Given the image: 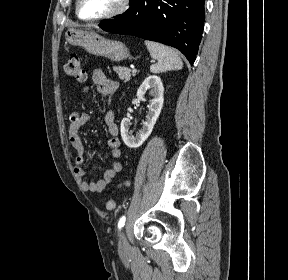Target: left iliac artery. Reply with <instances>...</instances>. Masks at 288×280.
<instances>
[{
	"label": "left iliac artery",
	"instance_id": "obj_1",
	"mask_svg": "<svg viewBox=\"0 0 288 280\" xmlns=\"http://www.w3.org/2000/svg\"><path fill=\"white\" fill-rule=\"evenodd\" d=\"M126 217L123 215L118 222V230H121L125 225Z\"/></svg>",
	"mask_w": 288,
	"mask_h": 280
}]
</instances>
